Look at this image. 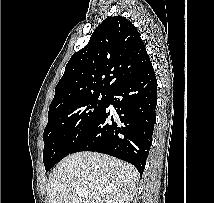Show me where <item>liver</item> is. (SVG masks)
<instances>
[{
    "label": "liver",
    "mask_w": 214,
    "mask_h": 203,
    "mask_svg": "<svg viewBox=\"0 0 214 203\" xmlns=\"http://www.w3.org/2000/svg\"><path fill=\"white\" fill-rule=\"evenodd\" d=\"M139 173L117 158L92 152L67 156L55 168L47 186L49 203H129L137 191ZM83 188L86 197L76 191Z\"/></svg>",
    "instance_id": "6515ba94"
}]
</instances>
